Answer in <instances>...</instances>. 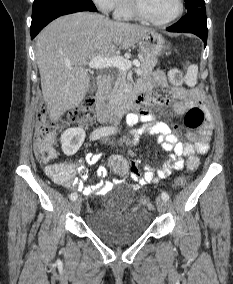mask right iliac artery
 <instances>
[{
	"label": "right iliac artery",
	"instance_id": "right-iliac-artery-1",
	"mask_svg": "<svg viewBox=\"0 0 233 284\" xmlns=\"http://www.w3.org/2000/svg\"><path fill=\"white\" fill-rule=\"evenodd\" d=\"M116 129L114 127H102V128H98L96 130H94L91 135H90V139L91 140H98L102 137H106V136H109L113 133H115ZM78 197L77 193H71L70 195V199L71 200H76Z\"/></svg>",
	"mask_w": 233,
	"mask_h": 284
}]
</instances>
